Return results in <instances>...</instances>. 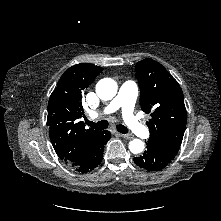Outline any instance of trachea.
I'll return each instance as SVG.
<instances>
[{
	"instance_id": "3493384b",
	"label": "trachea",
	"mask_w": 221,
	"mask_h": 221,
	"mask_svg": "<svg viewBox=\"0 0 221 221\" xmlns=\"http://www.w3.org/2000/svg\"><path fill=\"white\" fill-rule=\"evenodd\" d=\"M86 124L94 129H97V130H103V129L108 128V126H109V123L106 120H102L97 123L86 120ZM116 128L120 133H123V134L128 133V129L122 124L117 125Z\"/></svg>"
}]
</instances>
